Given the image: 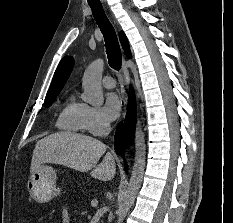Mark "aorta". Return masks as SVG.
I'll list each match as a JSON object with an SVG mask.
<instances>
[{
    "instance_id": "762f6f07",
    "label": "aorta",
    "mask_w": 233,
    "mask_h": 223,
    "mask_svg": "<svg viewBox=\"0 0 233 223\" xmlns=\"http://www.w3.org/2000/svg\"><path fill=\"white\" fill-rule=\"evenodd\" d=\"M103 68V60H95V62H92V64H90V66H88L84 72L82 82L84 94L82 96V100L87 102V104H91V106H103L104 104L101 84ZM145 159V137L140 117H138L135 129V159L130 181L124 193V199L120 207L121 211L119 215L121 219L124 217V215H126L129 207H131L132 203L135 201V197L138 193V189L144 175Z\"/></svg>"
}]
</instances>
